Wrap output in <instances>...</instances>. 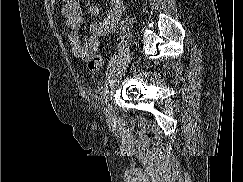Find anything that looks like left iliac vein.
I'll list each match as a JSON object with an SVG mask.
<instances>
[{
  "mask_svg": "<svg viewBox=\"0 0 243 182\" xmlns=\"http://www.w3.org/2000/svg\"><path fill=\"white\" fill-rule=\"evenodd\" d=\"M105 116L107 119V122L109 124H113L115 122V111L113 110L112 106L109 104V102L106 100L105 102Z\"/></svg>",
  "mask_w": 243,
  "mask_h": 182,
  "instance_id": "4c4485c4",
  "label": "left iliac vein"
}]
</instances>
